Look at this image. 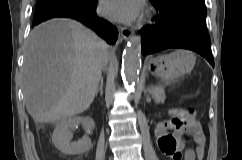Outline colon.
<instances>
[{
	"label": "colon",
	"instance_id": "obj_1",
	"mask_svg": "<svg viewBox=\"0 0 242 160\" xmlns=\"http://www.w3.org/2000/svg\"><path fill=\"white\" fill-rule=\"evenodd\" d=\"M191 113L193 115V112L191 110H185V109H179L175 112V118L173 119V122H176V118L181 114V113Z\"/></svg>",
	"mask_w": 242,
	"mask_h": 160
}]
</instances>
